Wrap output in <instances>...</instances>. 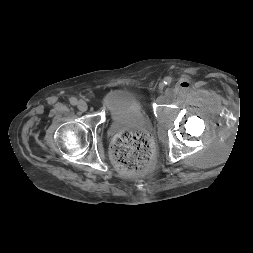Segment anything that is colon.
<instances>
[{
    "label": "colon",
    "mask_w": 253,
    "mask_h": 253,
    "mask_svg": "<svg viewBox=\"0 0 253 253\" xmlns=\"http://www.w3.org/2000/svg\"><path fill=\"white\" fill-rule=\"evenodd\" d=\"M110 151L119 172L138 174L150 165L152 141L143 131L125 130L115 136Z\"/></svg>",
    "instance_id": "5ec220e1"
}]
</instances>
